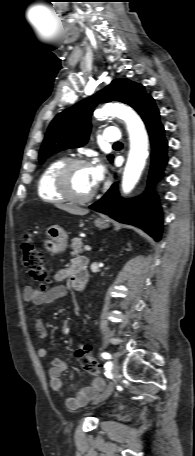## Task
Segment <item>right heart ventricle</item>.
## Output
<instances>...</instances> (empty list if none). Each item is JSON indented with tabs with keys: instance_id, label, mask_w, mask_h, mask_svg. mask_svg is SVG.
Here are the masks:
<instances>
[{
	"instance_id": "right-heart-ventricle-1",
	"label": "right heart ventricle",
	"mask_w": 195,
	"mask_h": 456,
	"mask_svg": "<svg viewBox=\"0 0 195 456\" xmlns=\"http://www.w3.org/2000/svg\"><path fill=\"white\" fill-rule=\"evenodd\" d=\"M65 161L63 158L55 159L42 170L37 182L38 195L42 199L51 202L64 200V197L56 189L54 179L56 171Z\"/></svg>"
}]
</instances>
